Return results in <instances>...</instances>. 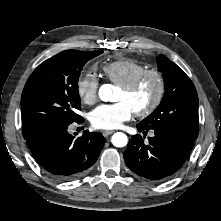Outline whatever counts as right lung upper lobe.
I'll return each mask as SVG.
<instances>
[{
	"instance_id": "1",
	"label": "right lung upper lobe",
	"mask_w": 221,
	"mask_h": 221,
	"mask_svg": "<svg viewBox=\"0 0 221 221\" xmlns=\"http://www.w3.org/2000/svg\"><path fill=\"white\" fill-rule=\"evenodd\" d=\"M66 51H68V50H66ZM66 51L61 52V53H59L58 55H64V54H66V53H67ZM25 139H27V138H25Z\"/></svg>"
}]
</instances>
